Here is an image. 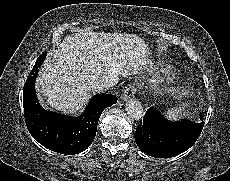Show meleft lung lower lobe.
<instances>
[{"label":"left lung lower lobe","instance_id":"1","mask_svg":"<svg viewBox=\"0 0 230 181\" xmlns=\"http://www.w3.org/2000/svg\"><path fill=\"white\" fill-rule=\"evenodd\" d=\"M203 126L204 121L171 123L152 107L147 110L134 136L140 150L149 156L171 158L188 150L198 139Z\"/></svg>","mask_w":230,"mask_h":181}]
</instances>
